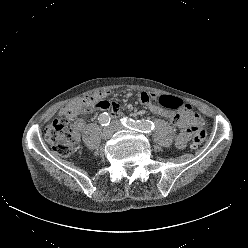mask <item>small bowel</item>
<instances>
[{
	"label": "small bowel",
	"mask_w": 248,
	"mask_h": 248,
	"mask_svg": "<svg viewBox=\"0 0 248 248\" xmlns=\"http://www.w3.org/2000/svg\"><path fill=\"white\" fill-rule=\"evenodd\" d=\"M109 95L110 92H98L85 98L90 100L97 110L107 111L110 115L117 116L119 105L115 101H109L107 99ZM153 97L154 96L149 93L142 92L139 94V101L154 114L168 119L175 126L182 129L177 136L176 145L180 149L185 148L189 142L191 132L194 131L199 123V118L186 106L182 107L179 112L163 108L153 102ZM85 98L62 107L59 111V115L67 116L71 113L77 114L78 109ZM77 123L79 127L83 125L82 120H78Z\"/></svg>",
	"instance_id": "c3829d8e"
}]
</instances>
